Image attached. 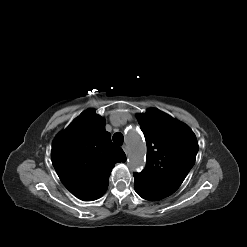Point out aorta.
<instances>
[{
    "label": "aorta",
    "mask_w": 247,
    "mask_h": 247,
    "mask_svg": "<svg viewBox=\"0 0 247 247\" xmlns=\"http://www.w3.org/2000/svg\"><path fill=\"white\" fill-rule=\"evenodd\" d=\"M125 135L129 149L128 165L132 170H138L145 162L146 144L134 127L127 129Z\"/></svg>",
    "instance_id": "aorta-1"
}]
</instances>
